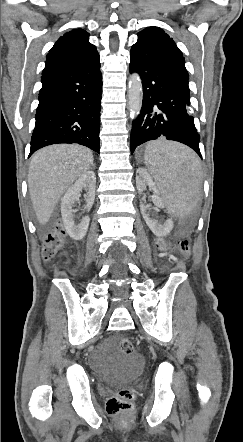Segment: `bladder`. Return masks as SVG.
<instances>
[{
	"label": "bladder",
	"instance_id": "31cf9c89",
	"mask_svg": "<svg viewBox=\"0 0 243 442\" xmlns=\"http://www.w3.org/2000/svg\"><path fill=\"white\" fill-rule=\"evenodd\" d=\"M142 367V359L138 356L123 354L116 362L115 380L120 383L135 379Z\"/></svg>",
	"mask_w": 243,
	"mask_h": 442
}]
</instances>
